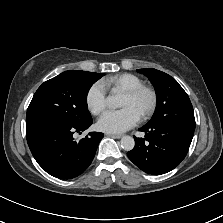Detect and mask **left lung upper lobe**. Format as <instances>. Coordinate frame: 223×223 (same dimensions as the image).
Listing matches in <instances>:
<instances>
[{
  "instance_id": "5c2ea615",
  "label": "left lung upper lobe",
  "mask_w": 223,
  "mask_h": 223,
  "mask_svg": "<svg viewBox=\"0 0 223 223\" xmlns=\"http://www.w3.org/2000/svg\"><path fill=\"white\" fill-rule=\"evenodd\" d=\"M137 71L149 78L157 95L155 113L146 125L169 124L195 129L192 104L179 83L170 75L153 68Z\"/></svg>"
}]
</instances>
